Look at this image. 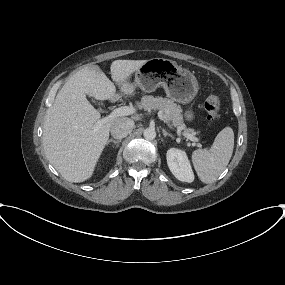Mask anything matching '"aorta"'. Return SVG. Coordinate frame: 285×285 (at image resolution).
I'll list each match as a JSON object with an SVG mask.
<instances>
[{
  "label": "aorta",
  "mask_w": 285,
  "mask_h": 285,
  "mask_svg": "<svg viewBox=\"0 0 285 285\" xmlns=\"http://www.w3.org/2000/svg\"><path fill=\"white\" fill-rule=\"evenodd\" d=\"M143 136L147 140H153L156 137V131L153 128H146L143 132Z\"/></svg>",
  "instance_id": "1"
}]
</instances>
